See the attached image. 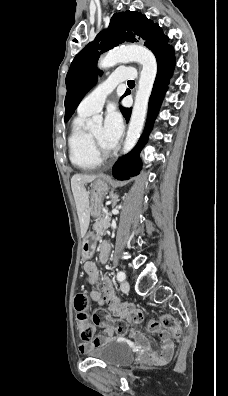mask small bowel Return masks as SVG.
Instances as JSON below:
<instances>
[{
	"mask_svg": "<svg viewBox=\"0 0 228 396\" xmlns=\"http://www.w3.org/2000/svg\"><path fill=\"white\" fill-rule=\"evenodd\" d=\"M108 252V244L102 243L100 246V259L105 261ZM84 271L86 274V281L90 286L89 296L95 303L104 306L107 305L112 311L113 315L124 321H128L130 324L129 334L130 337L138 344L148 348L149 356L155 364L167 363L174 351V343L171 340L167 331L160 333L162 344L160 349H152L149 345L148 339L144 333L139 329L138 324L143 318V312L130 304H122L115 295L113 284L109 277H106L103 282L102 290L99 287V272L95 262L87 260L84 263ZM102 334L93 335L89 340H85L79 345V350L85 352L90 348L97 347L104 342L111 340L122 339L121 335H117L115 331L106 326H102Z\"/></svg>",
	"mask_w": 228,
	"mask_h": 396,
	"instance_id": "small-bowel-1",
	"label": "small bowel"
}]
</instances>
